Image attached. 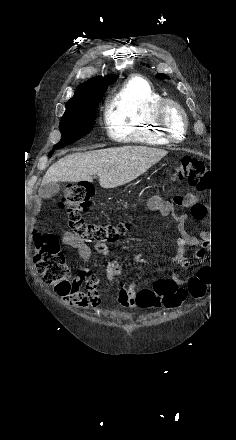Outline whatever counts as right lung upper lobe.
Masks as SVG:
<instances>
[{
	"mask_svg": "<svg viewBox=\"0 0 236 440\" xmlns=\"http://www.w3.org/2000/svg\"><path fill=\"white\" fill-rule=\"evenodd\" d=\"M117 76L95 77L78 86L74 96L68 101L103 95L107 87L116 80Z\"/></svg>",
	"mask_w": 236,
	"mask_h": 440,
	"instance_id": "obj_1",
	"label": "right lung upper lobe"
}]
</instances>
